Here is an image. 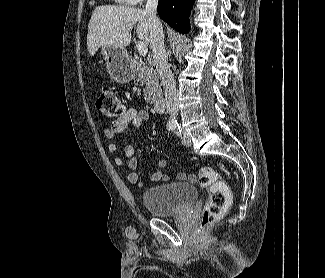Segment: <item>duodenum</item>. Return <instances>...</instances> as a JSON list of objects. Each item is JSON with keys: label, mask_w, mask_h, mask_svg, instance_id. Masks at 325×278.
<instances>
[{"label": "duodenum", "mask_w": 325, "mask_h": 278, "mask_svg": "<svg viewBox=\"0 0 325 278\" xmlns=\"http://www.w3.org/2000/svg\"><path fill=\"white\" fill-rule=\"evenodd\" d=\"M153 108L158 113L164 112V110H165V100H164V98H161V97L156 98L153 101Z\"/></svg>", "instance_id": "1"}]
</instances>
